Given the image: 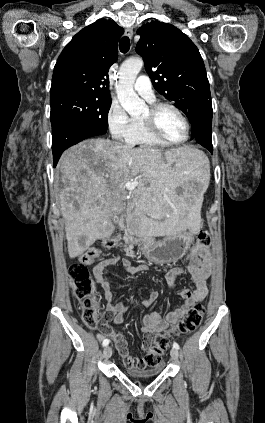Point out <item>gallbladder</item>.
Segmentation results:
<instances>
[{
	"instance_id": "gallbladder-1",
	"label": "gallbladder",
	"mask_w": 265,
	"mask_h": 423,
	"mask_svg": "<svg viewBox=\"0 0 265 423\" xmlns=\"http://www.w3.org/2000/svg\"><path fill=\"white\" fill-rule=\"evenodd\" d=\"M113 221H114V223H115V224H117V223H118V222H117V216H114V217H113Z\"/></svg>"
}]
</instances>
